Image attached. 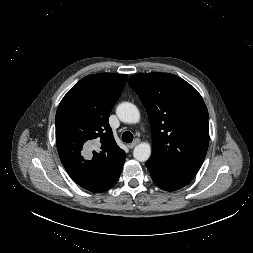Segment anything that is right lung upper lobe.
I'll return each mask as SVG.
<instances>
[{"label":"right lung upper lobe","instance_id":"obj_1","mask_svg":"<svg viewBox=\"0 0 253 253\" xmlns=\"http://www.w3.org/2000/svg\"><path fill=\"white\" fill-rule=\"evenodd\" d=\"M127 76L100 73L81 79L60 102L56 117V144L69 176L82 188L96 192L110 181L125 161L115 142L109 114L122 93ZM92 153L83 157L82 148Z\"/></svg>","mask_w":253,"mask_h":253}]
</instances>
